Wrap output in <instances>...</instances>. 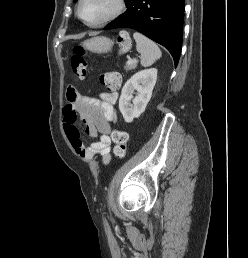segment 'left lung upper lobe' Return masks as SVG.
Here are the masks:
<instances>
[{
	"label": "left lung upper lobe",
	"mask_w": 248,
	"mask_h": 258,
	"mask_svg": "<svg viewBox=\"0 0 248 258\" xmlns=\"http://www.w3.org/2000/svg\"><path fill=\"white\" fill-rule=\"evenodd\" d=\"M77 0H74V2H76ZM130 0H125V3H126V5L128 4V2H129Z\"/></svg>",
	"instance_id": "left-lung-upper-lobe-1"
}]
</instances>
